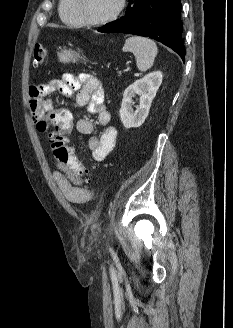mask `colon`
<instances>
[{"mask_svg": "<svg viewBox=\"0 0 233 328\" xmlns=\"http://www.w3.org/2000/svg\"><path fill=\"white\" fill-rule=\"evenodd\" d=\"M46 58V48L41 44H36L33 52V66L40 67ZM37 127L41 132L49 130L50 144L56 160L68 168L77 180H84L86 171L67 142L73 127L72 114L66 109H54L38 121Z\"/></svg>", "mask_w": 233, "mask_h": 328, "instance_id": "obj_1", "label": "colon"}]
</instances>
